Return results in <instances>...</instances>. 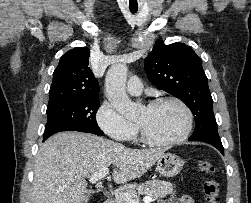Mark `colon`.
<instances>
[{
    "mask_svg": "<svg viewBox=\"0 0 251 203\" xmlns=\"http://www.w3.org/2000/svg\"><path fill=\"white\" fill-rule=\"evenodd\" d=\"M198 169L204 175L202 191L205 198V203H220L219 184L215 178L214 165L208 160H199Z\"/></svg>",
    "mask_w": 251,
    "mask_h": 203,
    "instance_id": "colon-1",
    "label": "colon"
}]
</instances>
